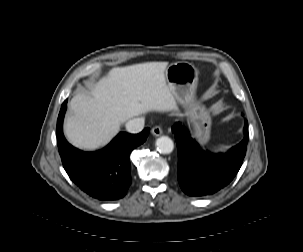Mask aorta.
Here are the masks:
<instances>
[{
    "label": "aorta",
    "instance_id": "1",
    "mask_svg": "<svg viewBox=\"0 0 303 252\" xmlns=\"http://www.w3.org/2000/svg\"><path fill=\"white\" fill-rule=\"evenodd\" d=\"M156 149L162 154H170L174 149V143L168 136H162L156 140Z\"/></svg>",
    "mask_w": 303,
    "mask_h": 252
}]
</instances>
